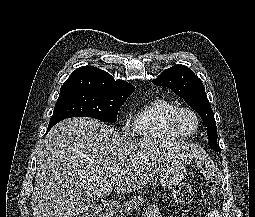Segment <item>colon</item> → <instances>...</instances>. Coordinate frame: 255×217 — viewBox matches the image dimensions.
Returning <instances> with one entry per match:
<instances>
[{"mask_svg":"<svg viewBox=\"0 0 255 217\" xmlns=\"http://www.w3.org/2000/svg\"><path fill=\"white\" fill-rule=\"evenodd\" d=\"M209 187L212 193L215 192V184L213 182L209 183ZM172 199L177 204H185L191 201L192 191L188 185H180L175 188L172 192Z\"/></svg>","mask_w":255,"mask_h":217,"instance_id":"obj_1","label":"colon"}]
</instances>
